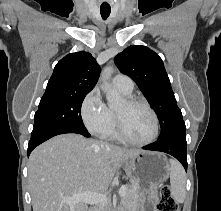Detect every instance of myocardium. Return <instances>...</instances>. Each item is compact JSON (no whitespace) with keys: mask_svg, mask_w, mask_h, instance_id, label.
Segmentation results:
<instances>
[{"mask_svg":"<svg viewBox=\"0 0 221 211\" xmlns=\"http://www.w3.org/2000/svg\"><path fill=\"white\" fill-rule=\"evenodd\" d=\"M125 101L128 105L143 106L150 112V114L152 115V118H153V122H154V131H153L152 136L146 141L133 140L131 137H129V135L125 131V128H124V125L122 123L120 116L117 114V112H115L116 130H117L118 136L124 142L129 143L134 146H147V145L153 143L157 139L158 134H159V119H158V116H157L155 110L146 101L141 100L136 97H127L125 99Z\"/></svg>","mask_w":221,"mask_h":211,"instance_id":"obj_1","label":"myocardium"}]
</instances>
